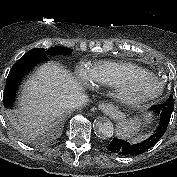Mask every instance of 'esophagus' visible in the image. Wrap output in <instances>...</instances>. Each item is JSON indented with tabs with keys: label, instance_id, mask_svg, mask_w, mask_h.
Segmentation results:
<instances>
[{
	"label": "esophagus",
	"instance_id": "esophagus-1",
	"mask_svg": "<svg viewBox=\"0 0 177 177\" xmlns=\"http://www.w3.org/2000/svg\"><path fill=\"white\" fill-rule=\"evenodd\" d=\"M98 108L106 113L111 111L114 107L111 103L101 102L99 103Z\"/></svg>",
	"mask_w": 177,
	"mask_h": 177
}]
</instances>
